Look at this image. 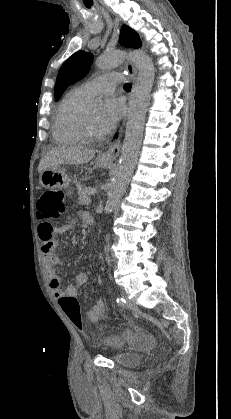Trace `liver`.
I'll list each match as a JSON object with an SVG mask.
<instances>
[{
	"mask_svg": "<svg viewBox=\"0 0 231 419\" xmlns=\"http://www.w3.org/2000/svg\"><path fill=\"white\" fill-rule=\"evenodd\" d=\"M95 156V150L79 146H60L49 151L40 161L38 171L58 167L62 164L80 165L88 163Z\"/></svg>",
	"mask_w": 231,
	"mask_h": 419,
	"instance_id": "obj_1",
	"label": "liver"
}]
</instances>
